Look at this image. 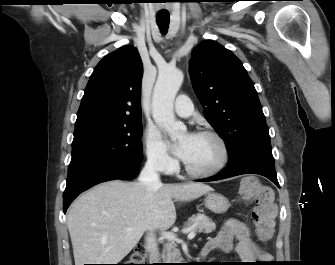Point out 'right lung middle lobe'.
<instances>
[{"instance_id":"right-lung-middle-lobe-1","label":"right lung middle lobe","mask_w":335,"mask_h":265,"mask_svg":"<svg viewBox=\"0 0 335 265\" xmlns=\"http://www.w3.org/2000/svg\"><path fill=\"white\" fill-rule=\"evenodd\" d=\"M142 120L76 128L68 173L91 164L133 165L142 160Z\"/></svg>"}]
</instances>
